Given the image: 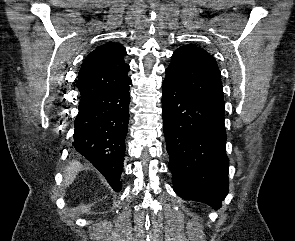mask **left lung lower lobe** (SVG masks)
<instances>
[{
	"mask_svg": "<svg viewBox=\"0 0 295 241\" xmlns=\"http://www.w3.org/2000/svg\"><path fill=\"white\" fill-rule=\"evenodd\" d=\"M162 112L173 189L183 199L219 209L228 193L223 106L187 90L166 72Z\"/></svg>",
	"mask_w": 295,
	"mask_h": 241,
	"instance_id": "left-lung-lower-lobe-1",
	"label": "left lung lower lobe"
}]
</instances>
